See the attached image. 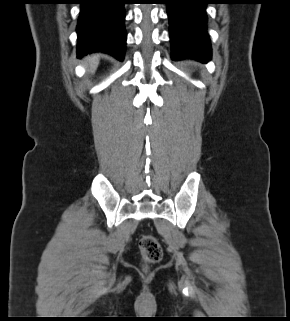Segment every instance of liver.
I'll return each instance as SVG.
<instances>
[{"mask_svg": "<svg viewBox=\"0 0 290 321\" xmlns=\"http://www.w3.org/2000/svg\"><path fill=\"white\" fill-rule=\"evenodd\" d=\"M85 64L89 67V71H90L91 73H94L95 70H96L97 67H98V64H99V57H98V55L88 56V57L85 59Z\"/></svg>", "mask_w": 290, "mask_h": 321, "instance_id": "1", "label": "liver"}]
</instances>
